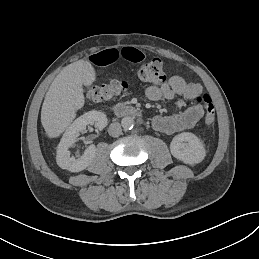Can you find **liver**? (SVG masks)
I'll use <instances>...</instances> for the list:
<instances>
[{
	"label": "liver",
	"instance_id": "6515ba94",
	"mask_svg": "<svg viewBox=\"0 0 259 259\" xmlns=\"http://www.w3.org/2000/svg\"><path fill=\"white\" fill-rule=\"evenodd\" d=\"M96 79L90 62L78 60L66 66L53 80L41 109V123L49 138L58 137L84 105L82 85L90 86Z\"/></svg>",
	"mask_w": 259,
	"mask_h": 259
}]
</instances>
